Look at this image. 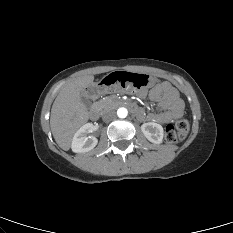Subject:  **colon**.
<instances>
[{
  "label": "colon",
  "mask_w": 233,
  "mask_h": 233,
  "mask_svg": "<svg viewBox=\"0 0 233 233\" xmlns=\"http://www.w3.org/2000/svg\"><path fill=\"white\" fill-rule=\"evenodd\" d=\"M189 122L180 119L175 124L168 125L165 130V140L168 143H177L183 140L189 132Z\"/></svg>",
  "instance_id": "colon-1"
}]
</instances>
